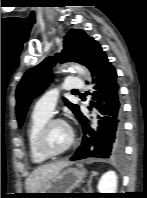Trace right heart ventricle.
<instances>
[{
	"mask_svg": "<svg viewBox=\"0 0 147 198\" xmlns=\"http://www.w3.org/2000/svg\"><path fill=\"white\" fill-rule=\"evenodd\" d=\"M47 115L33 112L26 129V143L31 161L35 164H42L49 158L44 156L37 147V136L42 125L49 119Z\"/></svg>",
	"mask_w": 147,
	"mask_h": 198,
	"instance_id": "obj_1",
	"label": "right heart ventricle"
}]
</instances>
